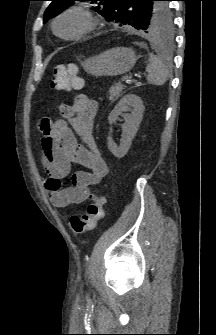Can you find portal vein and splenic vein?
Listing matches in <instances>:
<instances>
[{
  "label": "portal vein and splenic vein",
  "instance_id": "obj_1",
  "mask_svg": "<svg viewBox=\"0 0 216 335\" xmlns=\"http://www.w3.org/2000/svg\"><path fill=\"white\" fill-rule=\"evenodd\" d=\"M122 81L125 82V83H130L131 82V80L128 77L123 78Z\"/></svg>",
  "mask_w": 216,
  "mask_h": 335
}]
</instances>
